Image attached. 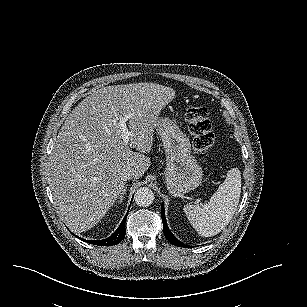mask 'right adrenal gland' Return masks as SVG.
I'll return each mask as SVG.
<instances>
[{"mask_svg": "<svg viewBox=\"0 0 307 307\" xmlns=\"http://www.w3.org/2000/svg\"><path fill=\"white\" fill-rule=\"evenodd\" d=\"M127 188H128V184H126V185L124 186L123 190H122L121 193H120L119 198L115 201L116 204H117L118 206H119V204L122 203V201H123V199H124L123 194L126 192V189H127Z\"/></svg>", "mask_w": 307, "mask_h": 307, "instance_id": "right-adrenal-gland-1", "label": "right adrenal gland"}]
</instances>
